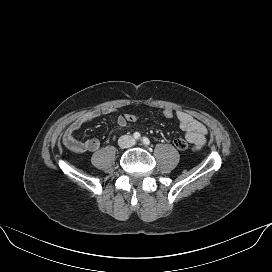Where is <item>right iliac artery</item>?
I'll list each match as a JSON object with an SVG mask.
<instances>
[{
	"label": "right iliac artery",
	"instance_id": "82829eb1",
	"mask_svg": "<svg viewBox=\"0 0 272 272\" xmlns=\"http://www.w3.org/2000/svg\"><path fill=\"white\" fill-rule=\"evenodd\" d=\"M133 136H134L135 139H139L140 138V133L139 132H135Z\"/></svg>",
	"mask_w": 272,
	"mask_h": 272
}]
</instances>
